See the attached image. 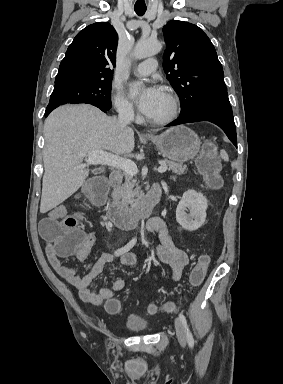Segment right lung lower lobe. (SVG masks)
Returning <instances> with one entry per match:
<instances>
[{"label": "right lung lower lobe", "mask_w": 283, "mask_h": 384, "mask_svg": "<svg viewBox=\"0 0 283 384\" xmlns=\"http://www.w3.org/2000/svg\"><path fill=\"white\" fill-rule=\"evenodd\" d=\"M96 107H98L99 109H101L103 112H106L108 111L110 108H111V105H95V104H92ZM55 108H46V111H45V116L47 117L52 110H54Z\"/></svg>", "instance_id": "98d812e1"}]
</instances>
